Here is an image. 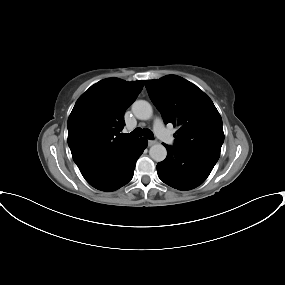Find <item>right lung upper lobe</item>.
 I'll return each mask as SVG.
<instances>
[{
  "mask_svg": "<svg viewBox=\"0 0 285 285\" xmlns=\"http://www.w3.org/2000/svg\"><path fill=\"white\" fill-rule=\"evenodd\" d=\"M144 81L108 78L91 86L75 103L68 118V145L80 171L134 141L123 139L124 113Z\"/></svg>",
  "mask_w": 285,
  "mask_h": 285,
  "instance_id": "right-lung-upper-lobe-1",
  "label": "right lung upper lobe"
}]
</instances>
